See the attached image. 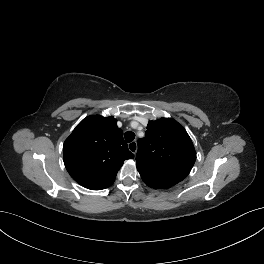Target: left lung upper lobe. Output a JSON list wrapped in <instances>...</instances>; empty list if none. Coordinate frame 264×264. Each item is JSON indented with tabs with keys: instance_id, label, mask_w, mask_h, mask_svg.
<instances>
[{
	"instance_id": "left-lung-upper-lobe-1",
	"label": "left lung upper lobe",
	"mask_w": 264,
	"mask_h": 264,
	"mask_svg": "<svg viewBox=\"0 0 264 264\" xmlns=\"http://www.w3.org/2000/svg\"><path fill=\"white\" fill-rule=\"evenodd\" d=\"M195 160L193 143L179 123L170 118L149 121L145 137L138 141L136 161L140 174L162 169L180 182L187 177Z\"/></svg>"
}]
</instances>
